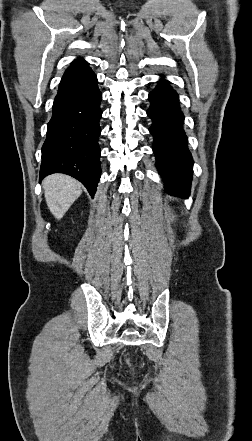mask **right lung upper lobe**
I'll return each mask as SVG.
<instances>
[{
    "instance_id": "obj_1",
    "label": "right lung upper lobe",
    "mask_w": 252,
    "mask_h": 441,
    "mask_svg": "<svg viewBox=\"0 0 252 441\" xmlns=\"http://www.w3.org/2000/svg\"><path fill=\"white\" fill-rule=\"evenodd\" d=\"M81 61H83V59H77L71 65L76 64V63L81 62Z\"/></svg>"
}]
</instances>
